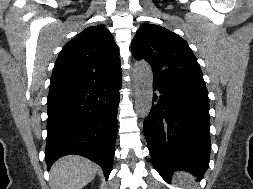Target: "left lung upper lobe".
Returning a JSON list of instances; mask_svg holds the SVG:
<instances>
[{
  "mask_svg": "<svg viewBox=\"0 0 253 189\" xmlns=\"http://www.w3.org/2000/svg\"><path fill=\"white\" fill-rule=\"evenodd\" d=\"M135 59L153 69V83L209 100L203 74L187 42L159 25L144 23L131 45Z\"/></svg>",
  "mask_w": 253,
  "mask_h": 189,
  "instance_id": "1",
  "label": "left lung upper lobe"
}]
</instances>
